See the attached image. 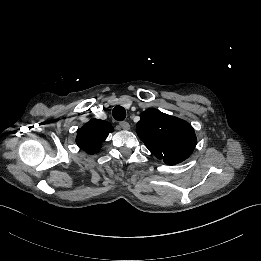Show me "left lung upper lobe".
Returning <instances> with one entry per match:
<instances>
[{
    "mask_svg": "<svg viewBox=\"0 0 261 261\" xmlns=\"http://www.w3.org/2000/svg\"><path fill=\"white\" fill-rule=\"evenodd\" d=\"M137 134L149 151L166 164L187 159L196 146L192 126L156 109H147L137 123Z\"/></svg>",
    "mask_w": 261,
    "mask_h": 261,
    "instance_id": "5c2ea615",
    "label": "left lung upper lobe"
}]
</instances>
